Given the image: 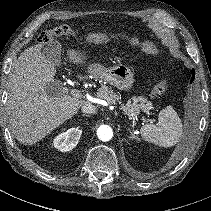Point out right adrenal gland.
Here are the masks:
<instances>
[{
    "label": "right adrenal gland",
    "mask_w": 211,
    "mask_h": 211,
    "mask_svg": "<svg viewBox=\"0 0 211 211\" xmlns=\"http://www.w3.org/2000/svg\"><path fill=\"white\" fill-rule=\"evenodd\" d=\"M82 116L89 117V115L83 114Z\"/></svg>",
    "instance_id": "2a0ac1e0"
}]
</instances>
